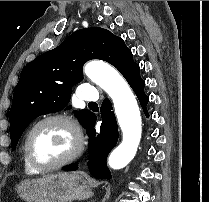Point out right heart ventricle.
Masks as SVG:
<instances>
[{
	"label": "right heart ventricle",
	"mask_w": 209,
	"mask_h": 202,
	"mask_svg": "<svg viewBox=\"0 0 209 202\" xmlns=\"http://www.w3.org/2000/svg\"><path fill=\"white\" fill-rule=\"evenodd\" d=\"M22 159H23V167H24V171L26 173H38L37 170H35L26 160L24 153L22 154Z\"/></svg>",
	"instance_id": "right-heart-ventricle-1"
}]
</instances>
